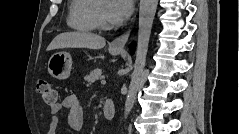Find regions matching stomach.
Wrapping results in <instances>:
<instances>
[{
	"mask_svg": "<svg viewBox=\"0 0 239 134\" xmlns=\"http://www.w3.org/2000/svg\"><path fill=\"white\" fill-rule=\"evenodd\" d=\"M122 49L109 48V52L112 55L120 54ZM72 68V58L67 52H56L48 61V72L56 79H66L70 76Z\"/></svg>",
	"mask_w": 239,
	"mask_h": 134,
	"instance_id": "1",
	"label": "stomach"
}]
</instances>
